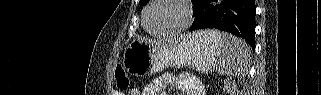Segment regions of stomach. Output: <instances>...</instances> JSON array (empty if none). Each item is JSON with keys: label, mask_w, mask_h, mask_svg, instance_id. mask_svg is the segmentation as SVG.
<instances>
[{"label": "stomach", "mask_w": 321, "mask_h": 95, "mask_svg": "<svg viewBox=\"0 0 321 95\" xmlns=\"http://www.w3.org/2000/svg\"><path fill=\"white\" fill-rule=\"evenodd\" d=\"M221 53L222 42L201 31L189 34L171 46L133 40L124 50L122 63L136 76L154 74L168 67H189L208 73L217 66Z\"/></svg>", "instance_id": "0dacf381"}]
</instances>
